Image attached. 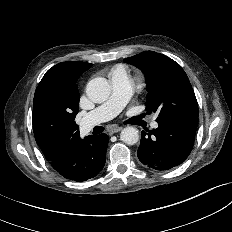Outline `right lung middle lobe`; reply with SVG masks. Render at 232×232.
<instances>
[{
    "instance_id": "1",
    "label": "right lung middle lobe",
    "mask_w": 232,
    "mask_h": 232,
    "mask_svg": "<svg viewBox=\"0 0 232 232\" xmlns=\"http://www.w3.org/2000/svg\"><path fill=\"white\" fill-rule=\"evenodd\" d=\"M78 104L74 107L63 97H48L43 99L33 109V120L37 129L33 128L35 136L53 140L76 126L75 116Z\"/></svg>"
}]
</instances>
